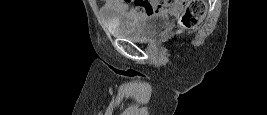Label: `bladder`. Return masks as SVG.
Segmentation results:
<instances>
[{"instance_id": "1", "label": "bladder", "mask_w": 267, "mask_h": 115, "mask_svg": "<svg viewBox=\"0 0 267 115\" xmlns=\"http://www.w3.org/2000/svg\"><path fill=\"white\" fill-rule=\"evenodd\" d=\"M171 23L166 14L148 13L139 16L134 23L109 25V31L120 38L132 42H146L160 34Z\"/></svg>"}]
</instances>
